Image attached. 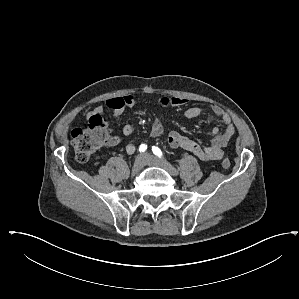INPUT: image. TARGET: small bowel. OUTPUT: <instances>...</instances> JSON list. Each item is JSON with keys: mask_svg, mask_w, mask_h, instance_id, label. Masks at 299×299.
<instances>
[{"mask_svg": "<svg viewBox=\"0 0 299 299\" xmlns=\"http://www.w3.org/2000/svg\"><path fill=\"white\" fill-rule=\"evenodd\" d=\"M188 100L183 97H162L157 101L160 106L170 107H183L187 104ZM139 103L138 99L131 94L123 97L109 98L104 105H98L94 107L88 116L102 115L105 111V107L110 109L111 115L114 119H118L124 112L126 107H135ZM209 114L214 119L221 121L224 124V130L221 131L219 127L214 126L211 129L212 141L208 146H201L196 141L192 140L188 136L172 131L168 135V144L173 149H183L193 153L201 160H220L223 157V148L228 144L232 136L235 134V126L232 123L230 115L218 106H192L184 110L183 115L187 119L197 118L202 115ZM134 127L127 124L122 129L124 136H129L133 133ZM164 132L163 124L158 118H154L151 124V135L153 137L161 136ZM121 142V137H112L110 144L116 145ZM125 150L128 154H133L136 150V144L129 142Z\"/></svg>", "mask_w": 299, "mask_h": 299, "instance_id": "small-bowel-1", "label": "small bowel"}]
</instances>
